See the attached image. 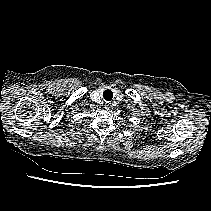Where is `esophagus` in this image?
<instances>
[{"label": "esophagus", "instance_id": "obj_1", "mask_svg": "<svg viewBox=\"0 0 211 211\" xmlns=\"http://www.w3.org/2000/svg\"><path fill=\"white\" fill-rule=\"evenodd\" d=\"M110 107H111V104L109 102H106L105 105H104V108L109 109Z\"/></svg>", "mask_w": 211, "mask_h": 211}]
</instances>
